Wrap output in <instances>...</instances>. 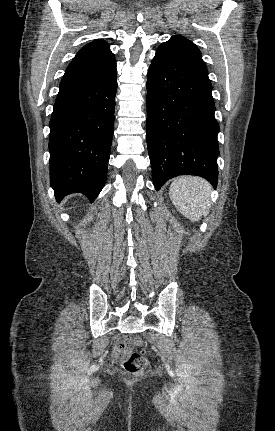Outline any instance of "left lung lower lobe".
<instances>
[{
    "instance_id": "0a47b994",
    "label": "left lung lower lobe",
    "mask_w": 275,
    "mask_h": 431,
    "mask_svg": "<svg viewBox=\"0 0 275 431\" xmlns=\"http://www.w3.org/2000/svg\"><path fill=\"white\" fill-rule=\"evenodd\" d=\"M211 92L195 66L159 46L147 78V146L156 190L178 175L217 186L219 125Z\"/></svg>"
}]
</instances>
